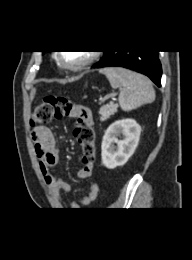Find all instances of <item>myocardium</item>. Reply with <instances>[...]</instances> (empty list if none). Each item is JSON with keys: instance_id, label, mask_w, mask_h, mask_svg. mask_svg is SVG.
Here are the masks:
<instances>
[{"instance_id": "obj_1", "label": "myocardium", "mask_w": 192, "mask_h": 260, "mask_svg": "<svg viewBox=\"0 0 192 260\" xmlns=\"http://www.w3.org/2000/svg\"><path fill=\"white\" fill-rule=\"evenodd\" d=\"M96 58H97V52L91 51V52H89V55L85 60H83L82 62H80L78 64L70 65L64 61L62 52H59L57 54V59H58V62L60 63V65L70 71L82 70L85 67H87L88 65H90Z\"/></svg>"}]
</instances>
